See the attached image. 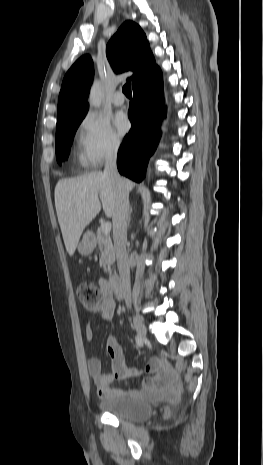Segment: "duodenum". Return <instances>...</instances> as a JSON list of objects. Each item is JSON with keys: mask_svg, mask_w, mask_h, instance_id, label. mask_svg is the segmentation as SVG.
<instances>
[{"mask_svg": "<svg viewBox=\"0 0 263 465\" xmlns=\"http://www.w3.org/2000/svg\"><path fill=\"white\" fill-rule=\"evenodd\" d=\"M109 286L111 287L112 291L114 292L117 298H122L123 296V288L121 279L117 274H113L109 278L108 282Z\"/></svg>", "mask_w": 263, "mask_h": 465, "instance_id": "410a0bca", "label": "duodenum"}]
</instances>
